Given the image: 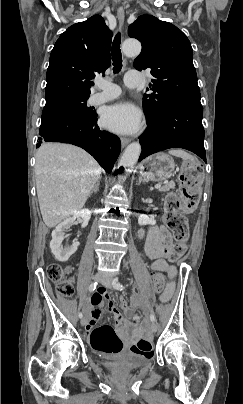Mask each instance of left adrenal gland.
<instances>
[{"label":"left adrenal gland","mask_w":243,"mask_h":404,"mask_svg":"<svg viewBox=\"0 0 243 404\" xmlns=\"http://www.w3.org/2000/svg\"><path fill=\"white\" fill-rule=\"evenodd\" d=\"M141 182H143V178L142 176H139L137 186H140Z\"/></svg>","instance_id":"left-adrenal-gland-1"}]
</instances>
